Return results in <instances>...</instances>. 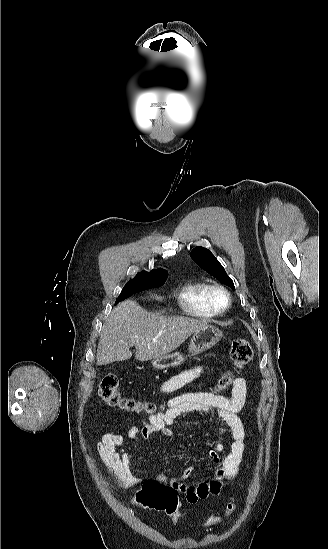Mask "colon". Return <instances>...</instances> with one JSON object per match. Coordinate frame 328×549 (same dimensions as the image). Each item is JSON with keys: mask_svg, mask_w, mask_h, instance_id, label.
<instances>
[{"mask_svg": "<svg viewBox=\"0 0 328 549\" xmlns=\"http://www.w3.org/2000/svg\"><path fill=\"white\" fill-rule=\"evenodd\" d=\"M252 357L253 349L249 342L244 339L233 342L229 348V358L236 370L246 365ZM231 382L232 375L227 372L220 378L217 389L223 390ZM99 395L108 405L117 406L127 411L152 413L156 410V405L151 402L124 397L120 391L118 378L114 374H107L103 377L99 385ZM132 504L136 508L163 511L175 525L182 520V514L179 510V491L164 480L144 481L141 489L134 495ZM235 508L236 504L234 502L229 503L226 516L231 515ZM221 521L222 518L220 517H212L207 521L206 526L217 525Z\"/></svg>", "mask_w": 328, "mask_h": 549, "instance_id": "colon-1", "label": "colon"}]
</instances>
